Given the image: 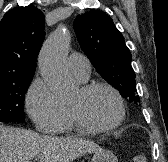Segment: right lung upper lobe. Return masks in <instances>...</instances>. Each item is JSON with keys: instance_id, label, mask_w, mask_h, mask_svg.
I'll use <instances>...</instances> for the list:
<instances>
[{"instance_id": "cb5924a9", "label": "right lung upper lobe", "mask_w": 168, "mask_h": 162, "mask_svg": "<svg viewBox=\"0 0 168 162\" xmlns=\"http://www.w3.org/2000/svg\"><path fill=\"white\" fill-rule=\"evenodd\" d=\"M45 17L34 6L7 12L0 22V81L35 72Z\"/></svg>"}]
</instances>
